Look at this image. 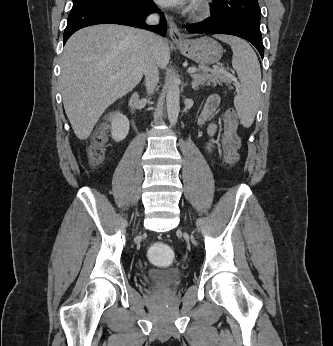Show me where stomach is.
<instances>
[{"label": "stomach", "mask_w": 333, "mask_h": 346, "mask_svg": "<svg viewBox=\"0 0 333 346\" xmlns=\"http://www.w3.org/2000/svg\"><path fill=\"white\" fill-rule=\"evenodd\" d=\"M177 46L184 56L201 66L217 63L223 54L221 45L209 37L186 40L184 43H177Z\"/></svg>", "instance_id": "0dacf381"}]
</instances>
